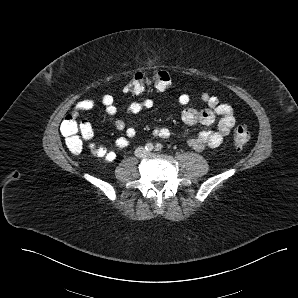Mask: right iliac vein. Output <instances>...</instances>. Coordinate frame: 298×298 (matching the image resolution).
Returning a JSON list of instances; mask_svg holds the SVG:
<instances>
[{
  "mask_svg": "<svg viewBox=\"0 0 298 298\" xmlns=\"http://www.w3.org/2000/svg\"><path fill=\"white\" fill-rule=\"evenodd\" d=\"M138 154L143 155L145 154V151L143 149L138 150Z\"/></svg>",
  "mask_w": 298,
  "mask_h": 298,
  "instance_id": "obj_1",
  "label": "right iliac vein"
}]
</instances>
